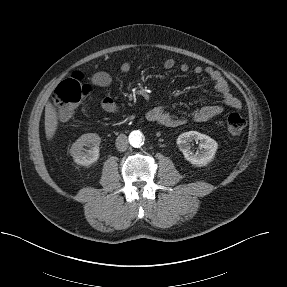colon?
Wrapping results in <instances>:
<instances>
[{
	"label": "colon",
	"mask_w": 287,
	"mask_h": 287,
	"mask_svg": "<svg viewBox=\"0 0 287 287\" xmlns=\"http://www.w3.org/2000/svg\"><path fill=\"white\" fill-rule=\"evenodd\" d=\"M89 91V85L83 82V77L79 73L61 82L53 95L58 118L60 120L69 119L76 106ZM245 125L246 121L239 113L233 112L226 117V129L230 135H239Z\"/></svg>",
	"instance_id": "obj_1"
}]
</instances>
